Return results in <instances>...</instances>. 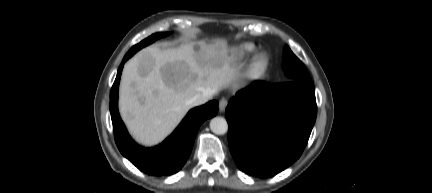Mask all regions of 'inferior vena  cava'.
Segmentation results:
<instances>
[{
  "label": "inferior vena cava",
  "mask_w": 432,
  "mask_h": 193,
  "mask_svg": "<svg viewBox=\"0 0 432 193\" xmlns=\"http://www.w3.org/2000/svg\"><path fill=\"white\" fill-rule=\"evenodd\" d=\"M213 97V91L212 90H204L202 93L196 94L194 97H192L188 104L192 107L202 105L206 103L208 100L212 99Z\"/></svg>",
  "instance_id": "obj_1"
}]
</instances>
